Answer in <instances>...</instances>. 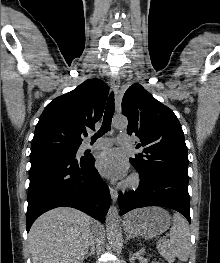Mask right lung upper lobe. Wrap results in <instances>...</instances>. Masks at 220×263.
<instances>
[{
	"instance_id": "right-lung-upper-lobe-1",
	"label": "right lung upper lobe",
	"mask_w": 220,
	"mask_h": 263,
	"mask_svg": "<svg viewBox=\"0 0 220 263\" xmlns=\"http://www.w3.org/2000/svg\"><path fill=\"white\" fill-rule=\"evenodd\" d=\"M109 87L88 79L50 102L36 125L31 153L79 148L81 136L102 117Z\"/></svg>"
}]
</instances>
